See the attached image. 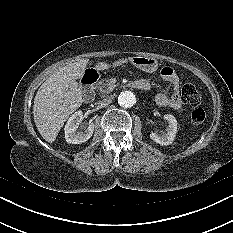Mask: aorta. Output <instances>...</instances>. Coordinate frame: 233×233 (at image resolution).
<instances>
[{"label": "aorta", "instance_id": "762f6f07", "mask_svg": "<svg viewBox=\"0 0 233 233\" xmlns=\"http://www.w3.org/2000/svg\"><path fill=\"white\" fill-rule=\"evenodd\" d=\"M118 103L121 107L130 108L136 103V96L132 91H122L118 96Z\"/></svg>", "mask_w": 233, "mask_h": 233}]
</instances>
